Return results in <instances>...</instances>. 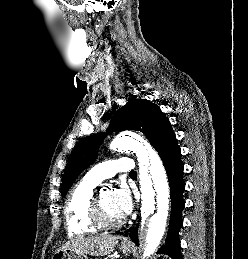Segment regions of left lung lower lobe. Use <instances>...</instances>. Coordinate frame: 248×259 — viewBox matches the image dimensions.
Returning a JSON list of instances; mask_svg holds the SVG:
<instances>
[{
	"mask_svg": "<svg viewBox=\"0 0 248 259\" xmlns=\"http://www.w3.org/2000/svg\"><path fill=\"white\" fill-rule=\"evenodd\" d=\"M158 153L163 161L168 176L171 192V215L167 238L157 253L166 254L172 259H182L178 236L179 229L183 224L181 212L185 207V202L182 198V194L185 190V183L183 181L181 150L177 144V140H174L172 143L160 148ZM137 231L138 225L136 226V229L132 228L130 230L129 236L137 245H139ZM127 234L128 231L126 232V235Z\"/></svg>",
	"mask_w": 248,
	"mask_h": 259,
	"instance_id": "left-lung-lower-lobe-1",
	"label": "left lung lower lobe"
}]
</instances>
